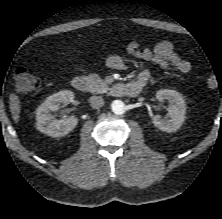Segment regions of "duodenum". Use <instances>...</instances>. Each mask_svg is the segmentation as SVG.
<instances>
[{"mask_svg": "<svg viewBox=\"0 0 222 219\" xmlns=\"http://www.w3.org/2000/svg\"><path fill=\"white\" fill-rule=\"evenodd\" d=\"M72 87L79 92H85L88 90L89 82L86 76H75L72 79ZM143 85L139 82L123 83L117 82L111 86V93L117 96L129 95L137 96L140 94Z\"/></svg>", "mask_w": 222, "mask_h": 219, "instance_id": "1", "label": "duodenum"}]
</instances>
